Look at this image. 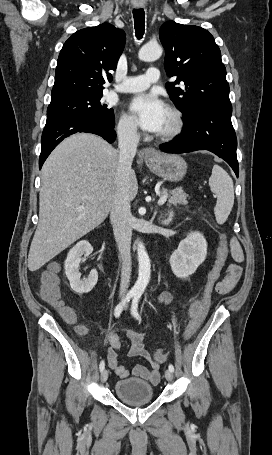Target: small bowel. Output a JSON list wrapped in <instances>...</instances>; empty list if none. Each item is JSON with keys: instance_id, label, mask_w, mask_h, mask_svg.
<instances>
[{"instance_id": "c3829d8e", "label": "small bowel", "mask_w": 272, "mask_h": 455, "mask_svg": "<svg viewBox=\"0 0 272 455\" xmlns=\"http://www.w3.org/2000/svg\"><path fill=\"white\" fill-rule=\"evenodd\" d=\"M229 250L234 263L227 267L226 274L223 279L218 280L214 286V291L220 295H225L235 288L242 275L241 263L244 261V253L240 243L237 239L232 238L229 242ZM159 303L163 305H170L173 301V295L170 291H163L158 296ZM111 348L107 351V361L109 367L116 373V375L122 379L127 378L130 375L129 370L120 364L118 359L117 350L121 348L119 337L115 333L108 335ZM130 348L128 355L130 357H142L151 361L148 351L145 349L143 343V335L137 331H131L129 333ZM134 376L143 378L152 384L158 383L160 379V364L151 361V367H147L142 364H137L132 369Z\"/></svg>"}]
</instances>
